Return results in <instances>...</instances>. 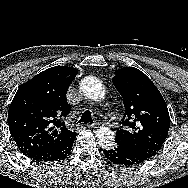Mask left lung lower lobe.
Masks as SVG:
<instances>
[{
  "label": "left lung lower lobe",
  "instance_id": "1",
  "mask_svg": "<svg viewBox=\"0 0 188 188\" xmlns=\"http://www.w3.org/2000/svg\"><path fill=\"white\" fill-rule=\"evenodd\" d=\"M104 155L111 162L125 166L140 164L153 156L146 151L128 147L119 142H116L114 148L104 150Z\"/></svg>",
  "mask_w": 188,
  "mask_h": 188
}]
</instances>
